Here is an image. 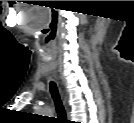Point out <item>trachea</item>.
<instances>
[{
	"instance_id": "trachea-1",
	"label": "trachea",
	"mask_w": 134,
	"mask_h": 123,
	"mask_svg": "<svg viewBox=\"0 0 134 123\" xmlns=\"http://www.w3.org/2000/svg\"><path fill=\"white\" fill-rule=\"evenodd\" d=\"M50 92L55 103V108L58 114L59 120H64L66 118L65 109L63 107L62 101L59 96L58 89L54 82L50 83Z\"/></svg>"
}]
</instances>
